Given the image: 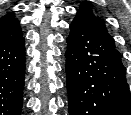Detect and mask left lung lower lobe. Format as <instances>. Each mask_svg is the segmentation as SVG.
<instances>
[{
    "label": "left lung lower lobe",
    "instance_id": "0a47b994",
    "mask_svg": "<svg viewBox=\"0 0 131 115\" xmlns=\"http://www.w3.org/2000/svg\"><path fill=\"white\" fill-rule=\"evenodd\" d=\"M67 44L69 115H131L126 68L114 42L76 16Z\"/></svg>",
    "mask_w": 131,
    "mask_h": 115
}]
</instances>
